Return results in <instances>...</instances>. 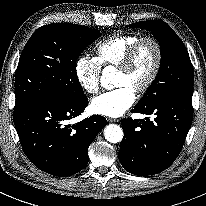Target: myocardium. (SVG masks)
<instances>
[{"instance_id": "1", "label": "myocardium", "mask_w": 206, "mask_h": 206, "mask_svg": "<svg viewBox=\"0 0 206 206\" xmlns=\"http://www.w3.org/2000/svg\"><path fill=\"white\" fill-rule=\"evenodd\" d=\"M144 42H150L154 46L155 63H154L153 69H152L151 74L149 75L148 79L142 85H140L139 87H137L135 89V92L138 94H142V93L146 92L147 90H149L159 75V72H160V69L162 66V60H163V52H162V47H161L160 42L155 37L150 36V35H145V36L139 37L132 44V46L129 48L122 63L120 64V66H118V70L120 72L128 73L131 70V68L135 62L137 53H138L141 45Z\"/></svg>"}]
</instances>
